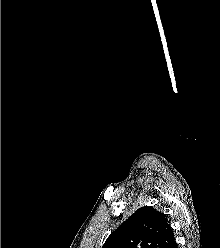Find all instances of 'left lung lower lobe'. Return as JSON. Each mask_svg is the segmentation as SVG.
<instances>
[{
	"instance_id": "1",
	"label": "left lung lower lobe",
	"mask_w": 220,
	"mask_h": 248,
	"mask_svg": "<svg viewBox=\"0 0 220 248\" xmlns=\"http://www.w3.org/2000/svg\"><path fill=\"white\" fill-rule=\"evenodd\" d=\"M168 248H178L175 239H174L173 242L168 246Z\"/></svg>"
}]
</instances>
